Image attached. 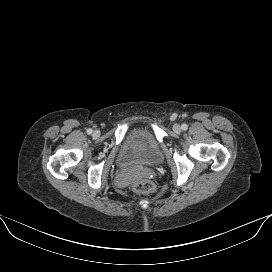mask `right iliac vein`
<instances>
[{"label":"right iliac vein","mask_w":272,"mask_h":272,"mask_svg":"<svg viewBox=\"0 0 272 272\" xmlns=\"http://www.w3.org/2000/svg\"><path fill=\"white\" fill-rule=\"evenodd\" d=\"M94 136L98 137L100 135V131L99 130H95L93 133Z\"/></svg>","instance_id":"right-iliac-vein-1"}]
</instances>
